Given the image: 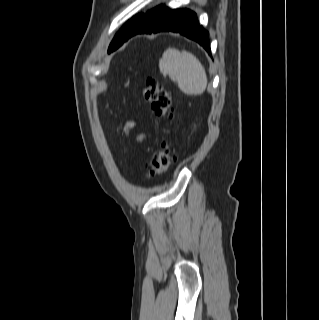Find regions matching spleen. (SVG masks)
Segmentation results:
<instances>
[{"instance_id": "3e777b00", "label": "spleen", "mask_w": 319, "mask_h": 320, "mask_svg": "<svg viewBox=\"0 0 319 320\" xmlns=\"http://www.w3.org/2000/svg\"><path fill=\"white\" fill-rule=\"evenodd\" d=\"M159 69L178 84L187 95H200L207 86V75L201 62L190 52L167 49L159 60Z\"/></svg>"}]
</instances>
